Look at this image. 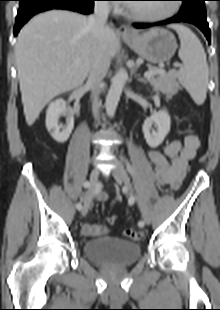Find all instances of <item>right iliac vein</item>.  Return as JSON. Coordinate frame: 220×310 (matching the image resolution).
Listing matches in <instances>:
<instances>
[{"mask_svg": "<svg viewBox=\"0 0 220 310\" xmlns=\"http://www.w3.org/2000/svg\"><path fill=\"white\" fill-rule=\"evenodd\" d=\"M99 169L95 168L90 174L89 187L85 195L84 206L81 210L82 216H85L89 210L91 201L95 195L96 185L99 178Z\"/></svg>", "mask_w": 220, "mask_h": 310, "instance_id": "1", "label": "right iliac vein"}]
</instances>
